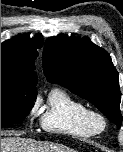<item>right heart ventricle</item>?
I'll use <instances>...</instances> for the list:
<instances>
[{
    "label": "right heart ventricle",
    "instance_id": "e07e8e85",
    "mask_svg": "<svg viewBox=\"0 0 123 152\" xmlns=\"http://www.w3.org/2000/svg\"><path fill=\"white\" fill-rule=\"evenodd\" d=\"M89 109L81 101L73 98L60 88L53 89L44 108L41 125L50 133L75 138H89L94 134L84 123V115Z\"/></svg>",
    "mask_w": 123,
    "mask_h": 152
}]
</instances>
